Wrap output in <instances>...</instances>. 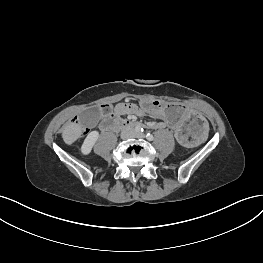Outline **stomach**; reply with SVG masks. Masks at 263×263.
I'll use <instances>...</instances> for the list:
<instances>
[{"mask_svg":"<svg viewBox=\"0 0 263 263\" xmlns=\"http://www.w3.org/2000/svg\"><path fill=\"white\" fill-rule=\"evenodd\" d=\"M142 112L156 120L166 119L171 133L187 150H195L206 136V121L180 103L147 100L142 105Z\"/></svg>","mask_w":263,"mask_h":263,"instance_id":"0dacf381","label":"stomach"}]
</instances>
